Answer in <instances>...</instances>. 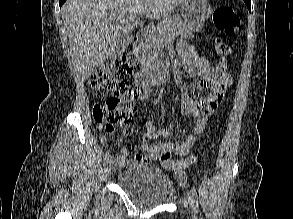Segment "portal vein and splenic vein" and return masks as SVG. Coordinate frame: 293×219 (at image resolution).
I'll list each match as a JSON object with an SVG mask.
<instances>
[{"label":"portal vein and splenic vein","instance_id":"portal-vein-and-splenic-vein-1","mask_svg":"<svg viewBox=\"0 0 293 219\" xmlns=\"http://www.w3.org/2000/svg\"><path fill=\"white\" fill-rule=\"evenodd\" d=\"M143 15H144V14H139V15L137 16V18H141Z\"/></svg>","mask_w":293,"mask_h":219}]
</instances>
